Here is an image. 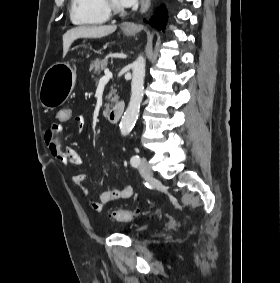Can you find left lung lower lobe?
<instances>
[{
  "mask_svg": "<svg viewBox=\"0 0 280 283\" xmlns=\"http://www.w3.org/2000/svg\"><path fill=\"white\" fill-rule=\"evenodd\" d=\"M167 20V13L165 9H160L155 13V16H152L151 19L149 20L150 25L155 27L158 30H163L165 23ZM146 23L148 21L144 20Z\"/></svg>",
  "mask_w": 280,
  "mask_h": 283,
  "instance_id": "obj_1",
  "label": "left lung lower lobe"
}]
</instances>
